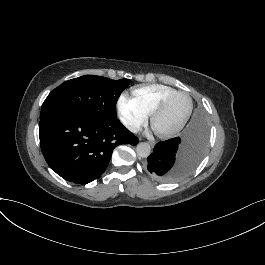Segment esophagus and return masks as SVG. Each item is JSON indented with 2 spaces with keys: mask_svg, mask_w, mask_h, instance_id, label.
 I'll return each mask as SVG.
<instances>
[{
  "mask_svg": "<svg viewBox=\"0 0 265 265\" xmlns=\"http://www.w3.org/2000/svg\"><path fill=\"white\" fill-rule=\"evenodd\" d=\"M151 146H154L155 145V142L154 141H150L149 142Z\"/></svg>",
  "mask_w": 265,
  "mask_h": 265,
  "instance_id": "1",
  "label": "esophagus"
}]
</instances>
